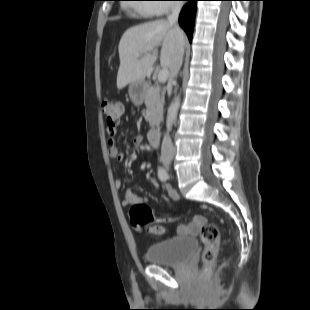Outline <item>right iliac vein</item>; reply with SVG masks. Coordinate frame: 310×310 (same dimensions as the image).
<instances>
[{
    "label": "right iliac vein",
    "instance_id": "1",
    "mask_svg": "<svg viewBox=\"0 0 310 310\" xmlns=\"http://www.w3.org/2000/svg\"><path fill=\"white\" fill-rule=\"evenodd\" d=\"M162 161H163V164L166 167H169L171 165V163H172V158L168 157V156H165V157H163Z\"/></svg>",
    "mask_w": 310,
    "mask_h": 310
}]
</instances>
